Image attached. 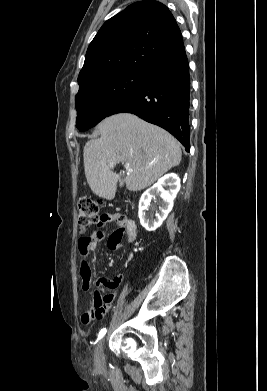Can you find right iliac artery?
Returning <instances> with one entry per match:
<instances>
[{"mask_svg": "<svg viewBox=\"0 0 267 391\" xmlns=\"http://www.w3.org/2000/svg\"><path fill=\"white\" fill-rule=\"evenodd\" d=\"M106 333V328H103L100 332H99V336L98 338L101 339Z\"/></svg>", "mask_w": 267, "mask_h": 391, "instance_id": "right-iliac-artery-1", "label": "right iliac artery"}]
</instances>
